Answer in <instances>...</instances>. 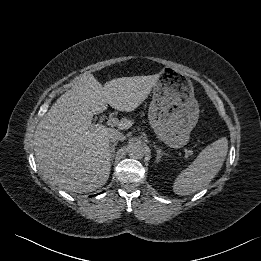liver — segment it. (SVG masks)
<instances>
[{
    "label": "liver",
    "instance_id": "obj_1",
    "mask_svg": "<svg viewBox=\"0 0 261 261\" xmlns=\"http://www.w3.org/2000/svg\"><path fill=\"white\" fill-rule=\"evenodd\" d=\"M158 79L159 74L121 77L102 86L92 74L80 75L37 125L34 151L43 178L69 192L101 188L110 175L109 135L118 130L92 123L93 115L108 105L135 110ZM132 123L124 118L118 129L127 130Z\"/></svg>",
    "mask_w": 261,
    "mask_h": 261
}]
</instances>
